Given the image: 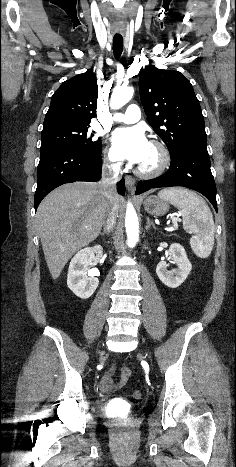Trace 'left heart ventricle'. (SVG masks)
Returning a JSON list of instances; mask_svg holds the SVG:
<instances>
[{"instance_id": "left-heart-ventricle-1", "label": "left heart ventricle", "mask_w": 236, "mask_h": 467, "mask_svg": "<svg viewBox=\"0 0 236 467\" xmlns=\"http://www.w3.org/2000/svg\"><path fill=\"white\" fill-rule=\"evenodd\" d=\"M158 153L151 145L149 146L148 152L144 160L140 163V166L144 168H153L158 163Z\"/></svg>"}]
</instances>
